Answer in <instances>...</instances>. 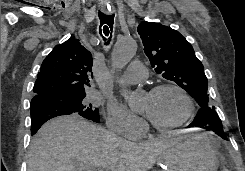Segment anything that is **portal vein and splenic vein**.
Segmentation results:
<instances>
[{
    "label": "portal vein and splenic vein",
    "instance_id": "18ae733b",
    "mask_svg": "<svg viewBox=\"0 0 245 171\" xmlns=\"http://www.w3.org/2000/svg\"><path fill=\"white\" fill-rule=\"evenodd\" d=\"M90 171H99V170H90Z\"/></svg>",
    "mask_w": 245,
    "mask_h": 171
}]
</instances>
